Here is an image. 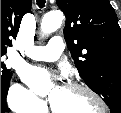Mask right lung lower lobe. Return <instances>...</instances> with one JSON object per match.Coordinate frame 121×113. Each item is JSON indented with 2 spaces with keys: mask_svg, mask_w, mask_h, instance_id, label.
<instances>
[{
  "mask_svg": "<svg viewBox=\"0 0 121 113\" xmlns=\"http://www.w3.org/2000/svg\"><path fill=\"white\" fill-rule=\"evenodd\" d=\"M8 88L1 89V113H5V112L10 111V109L7 107V104L5 102V99H6V96H7V93H8Z\"/></svg>",
  "mask_w": 121,
  "mask_h": 113,
  "instance_id": "1",
  "label": "right lung lower lobe"
}]
</instances>
